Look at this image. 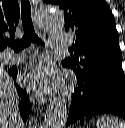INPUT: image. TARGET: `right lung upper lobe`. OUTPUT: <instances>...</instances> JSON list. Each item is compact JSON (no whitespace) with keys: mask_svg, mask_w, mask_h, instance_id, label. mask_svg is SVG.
Returning a JSON list of instances; mask_svg holds the SVG:
<instances>
[{"mask_svg":"<svg viewBox=\"0 0 125 128\" xmlns=\"http://www.w3.org/2000/svg\"><path fill=\"white\" fill-rule=\"evenodd\" d=\"M20 11L18 0H0V51L4 50L10 38L15 36Z\"/></svg>","mask_w":125,"mask_h":128,"instance_id":"1","label":"right lung upper lobe"}]
</instances>
